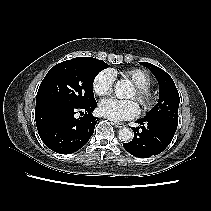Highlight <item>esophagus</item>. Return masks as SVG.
Wrapping results in <instances>:
<instances>
[{"instance_id":"34e87169","label":"esophagus","mask_w":211,"mask_h":211,"mask_svg":"<svg viewBox=\"0 0 211 211\" xmlns=\"http://www.w3.org/2000/svg\"><path fill=\"white\" fill-rule=\"evenodd\" d=\"M113 125H114L116 128H119V129L125 127L124 123H116V122H114Z\"/></svg>"}]
</instances>
